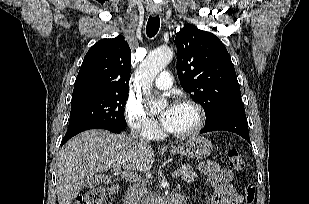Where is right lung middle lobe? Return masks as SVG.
Instances as JSON below:
<instances>
[{"label":"right lung middle lobe","mask_w":309,"mask_h":204,"mask_svg":"<svg viewBox=\"0 0 309 204\" xmlns=\"http://www.w3.org/2000/svg\"><path fill=\"white\" fill-rule=\"evenodd\" d=\"M127 98L128 93L107 94L71 103L68 129L81 124L98 123L124 130L127 126L124 117Z\"/></svg>","instance_id":"dd1d6c3e"}]
</instances>
